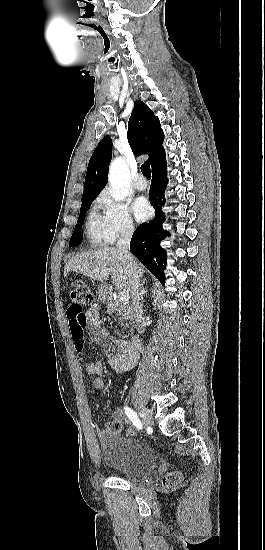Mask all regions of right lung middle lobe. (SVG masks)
I'll list each match as a JSON object with an SVG mask.
<instances>
[{
    "mask_svg": "<svg viewBox=\"0 0 265 550\" xmlns=\"http://www.w3.org/2000/svg\"><path fill=\"white\" fill-rule=\"evenodd\" d=\"M94 199L95 198L82 199V205H81V208H80L79 218H78L77 224L75 226L74 232L72 234V237L70 239V242H69L70 247L79 245V243L81 241V238H82V234H81L82 222L85 218L86 212L90 208L91 203Z\"/></svg>",
    "mask_w": 265,
    "mask_h": 550,
    "instance_id": "1",
    "label": "right lung middle lobe"
}]
</instances>
